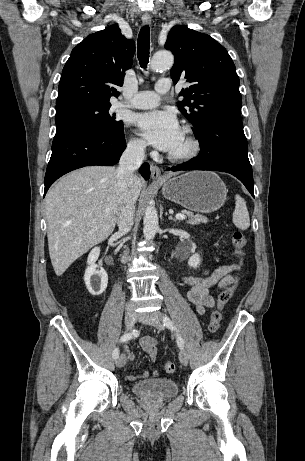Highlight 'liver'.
Wrapping results in <instances>:
<instances>
[{"label":"liver","mask_w":305,"mask_h":461,"mask_svg":"<svg viewBox=\"0 0 305 461\" xmlns=\"http://www.w3.org/2000/svg\"><path fill=\"white\" fill-rule=\"evenodd\" d=\"M142 180L134 176L137 200ZM117 171L88 166L61 178L47 193L45 213L49 255L57 276L113 232L119 201Z\"/></svg>","instance_id":"1"}]
</instances>
